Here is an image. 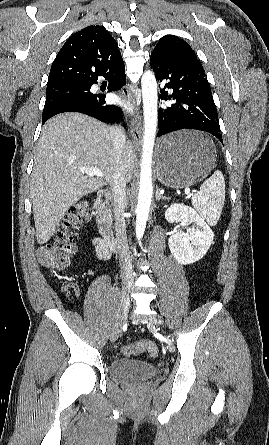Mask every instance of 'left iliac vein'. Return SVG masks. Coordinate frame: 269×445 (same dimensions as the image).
I'll return each mask as SVG.
<instances>
[{"label": "left iliac vein", "instance_id": "4c4485c4", "mask_svg": "<svg viewBox=\"0 0 269 445\" xmlns=\"http://www.w3.org/2000/svg\"><path fill=\"white\" fill-rule=\"evenodd\" d=\"M152 323H153V324H158V321H157V319H156L155 317H153V319H152Z\"/></svg>", "mask_w": 269, "mask_h": 445}]
</instances>
